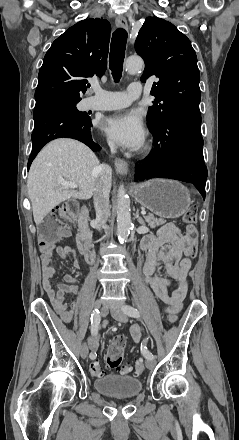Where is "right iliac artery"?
Instances as JSON below:
<instances>
[{
  "instance_id": "82829eb1",
  "label": "right iliac artery",
  "mask_w": 239,
  "mask_h": 440,
  "mask_svg": "<svg viewBox=\"0 0 239 440\" xmlns=\"http://www.w3.org/2000/svg\"><path fill=\"white\" fill-rule=\"evenodd\" d=\"M101 321L100 312L98 309H94L91 315V333L96 335L98 332V327ZM97 354L95 352L90 353V359H95Z\"/></svg>"
}]
</instances>
